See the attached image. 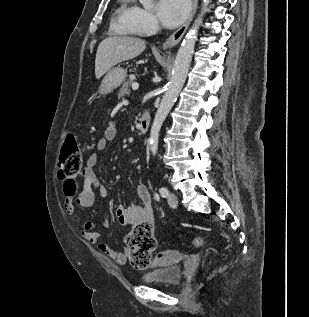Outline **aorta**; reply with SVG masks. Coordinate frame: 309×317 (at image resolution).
Masks as SVG:
<instances>
[{"label": "aorta", "mask_w": 309, "mask_h": 317, "mask_svg": "<svg viewBox=\"0 0 309 317\" xmlns=\"http://www.w3.org/2000/svg\"><path fill=\"white\" fill-rule=\"evenodd\" d=\"M152 2L153 0H140V3L145 9H150ZM210 2L211 0H203L201 12L177 52L170 81L167 84L165 94L156 112L150 131L149 148L153 156L157 154L161 126L185 83L198 36V30Z\"/></svg>", "instance_id": "obj_1"}]
</instances>
